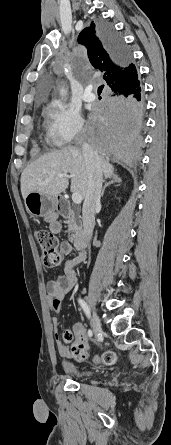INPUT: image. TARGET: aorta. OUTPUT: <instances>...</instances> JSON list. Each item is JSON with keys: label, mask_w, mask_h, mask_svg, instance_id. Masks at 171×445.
I'll list each match as a JSON object with an SVG mask.
<instances>
[{"label": "aorta", "mask_w": 171, "mask_h": 445, "mask_svg": "<svg viewBox=\"0 0 171 445\" xmlns=\"http://www.w3.org/2000/svg\"><path fill=\"white\" fill-rule=\"evenodd\" d=\"M60 94H61L62 96H64V95L66 94V91H65L64 89H61Z\"/></svg>", "instance_id": "aorta-1"}]
</instances>
